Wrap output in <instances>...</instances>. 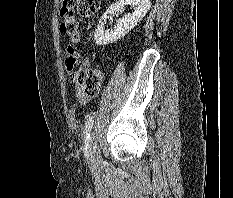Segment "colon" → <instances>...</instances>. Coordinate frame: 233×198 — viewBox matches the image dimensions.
<instances>
[{
	"mask_svg": "<svg viewBox=\"0 0 233 198\" xmlns=\"http://www.w3.org/2000/svg\"><path fill=\"white\" fill-rule=\"evenodd\" d=\"M100 0H63L60 9L61 25L60 30L68 35L72 42L79 39V23L77 15L81 18H89L99 9ZM66 58V69L74 85L87 95L98 93L104 74L96 68L80 66L78 57L72 47L68 49Z\"/></svg>",
	"mask_w": 233,
	"mask_h": 198,
	"instance_id": "obj_1",
	"label": "colon"
}]
</instances>
